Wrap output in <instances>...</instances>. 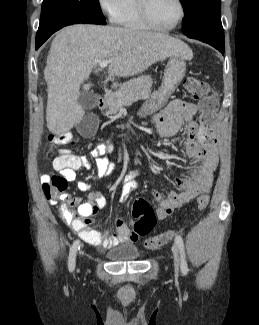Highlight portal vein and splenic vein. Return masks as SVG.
Segmentation results:
<instances>
[{
  "instance_id": "portal-vein-and-splenic-vein-1",
  "label": "portal vein and splenic vein",
  "mask_w": 259,
  "mask_h": 325,
  "mask_svg": "<svg viewBox=\"0 0 259 325\" xmlns=\"http://www.w3.org/2000/svg\"><path fill=\"white\" fill-rule=\"evenodd\" d=\"M109 63H110L109 60H103V61H100V62H99L98 66H99L100 69H102V68L107 67V65H108Z\"/></svg>"
}]
</instances>
